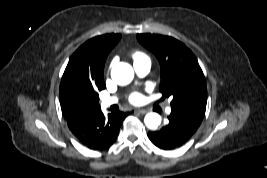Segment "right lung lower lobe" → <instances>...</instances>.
Wrapping results in <instances>:
<instances>
[{"mask_svg":"<svg viewBox=\"0 0 267 178\" xmlns=\"http://www.w3.org/2000/svg\"><path fill=\"white\" fill-rule=\"evenodd\" d=\"M126 116L127 113L115 109L105 117L100 107L75 110L64 115L76 139L93 150H102L113 144Z\"/></svg>","mask_w":267,"mask_h":178,"instance_id":"1","label":"right lung lower lobe"}]
</instances>
